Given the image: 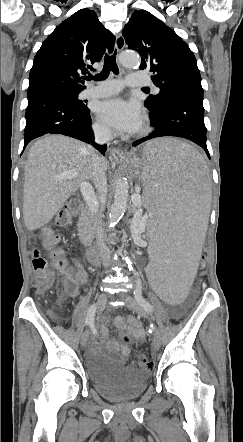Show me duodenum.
Wrapping results in <instances>:
<instances>
[{
    "label": "duodenum",
    "instance_id": "obj_1",
    "mask_svg": "<svg viewBox=\"0 0 243 442\" xmlns=\"http://www.w3.org/2000/svg\"><path fill=\"white\" fill-rule=\"evenodd\" d=\"M71 208L73 212H77L80 209V203L78 201H74L71 204ZM86 259L89 263L91 264H99L100 263V259H99V255L96 249L94 248H88L86 251Z\"/></svg>",
    "mask_w": 243,
    "mask_h": 442
}]
</instances>
